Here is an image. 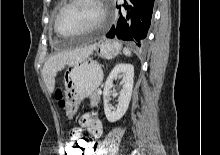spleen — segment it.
<instances>
[{
    "instance_id": "spleen-1",
    "label": "spleen",
    "mask_w": 220,
    "mask_h": 155,
    "mask_svg": "<svg viewBox=\"0 0 220 155\" xmlns=\"http://www.w3.org/2000/svg\"><path fill=\"white\" fill-rule=\"evenodd\" d=\"M123 54H124L125 56H131V51H130L128 48H124V49H123Z\"/></svg>"
}]
</instances>
